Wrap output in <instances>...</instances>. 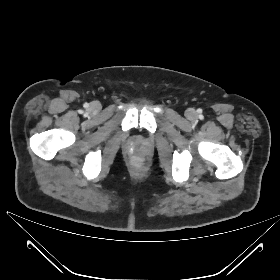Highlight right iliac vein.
I'll return each instance as SVG.
<instances>
[{
	"label": "right iliac vein",
	"instance_id": "63e3f726",
	"mask_svg": "<svg viewBox=\"0 0 280 280\" xmlns=\"http://www.w3.org/2000/svg\"><path fill=\"white\" fill-rule=\"evenodd\" d=\"M91 111L98 112L101 109L99 102H93L90 106Z\"/></svg>",
	"mask_w": 280,
	"mask_h": 280
}]
</instances>
